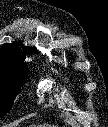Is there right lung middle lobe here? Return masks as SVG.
<instances>
[{"label": "right lung middle lobe", "instance_id": "right-lung-middle-lobe-1", "mask_svg": "<svg viewBox=\"0 0 108 127\" xmlns=\"http://www.w3.org/2000/svg\"><path fill=\"white\" fill-rule=\"evenodd\" d=\"M28 73L26 65L17 63L0 64V116L13 104Z\"/></svg>", "mask_w": 108, "mask_h": 127}]
</instances>
